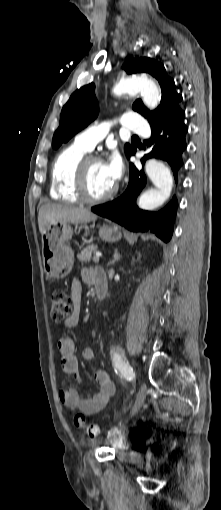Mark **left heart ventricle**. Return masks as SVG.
<instances>
[{"label":"left heart ventricle","instance_id":"1","mask_svg":"<svg viewBox=\"0 0 221 510\" xmlns=\"http://www.w3.org/2000/svg\"><path fill=\"white\" fill-rule=\"evenodd\" d=\"M104 162H92L88 166L87 190L91 197H100L113 189Z\"/></svg>","mask_w":221,"mask_h":510}]
</instances>
